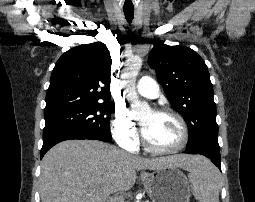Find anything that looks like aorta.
I'll return each instance as SVG.
<instances>
[{"label": "aorta", "instance_id": "762f6f07", "mask_svg": "<svg viewBox=\"0 0 255 202\" xmlns=\"http://www.w3.org/2000/svg\"><path fill=\"white\" fill-rule=\"evenodd\" d=\"M141 66L142 59L138 56H134L125 62L121 74V83L132 108L131 116L137 119L143 117L151 111L148 103L140 101L136 92L135 80Z\"/></svg>", "mask_w": 255, "mask_h": 202}]
</instances>
